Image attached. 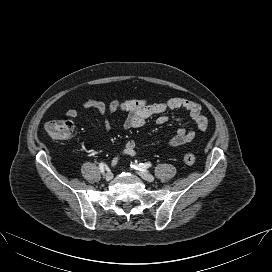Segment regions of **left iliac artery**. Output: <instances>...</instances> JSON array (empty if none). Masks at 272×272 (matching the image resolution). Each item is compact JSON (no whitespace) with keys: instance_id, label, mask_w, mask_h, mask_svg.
Masks as SVG:
<instances>
[{"instance_id":"obj_1","label":"left iliac artery","mask_w":272,"mask_h":272,"mask_svg":"<svg viewBox=\"0 0 272 272\" xmlns=\"http://www.w3.org/2000/svg\"><path fill=\"white\" fill-rule=\"evenodd\" d=\"M151 166H152L151 163H139V164H135V165L131 164L132 168L139 170V171H145L147 168H149Z\"/></svg>"}]
</instances>
